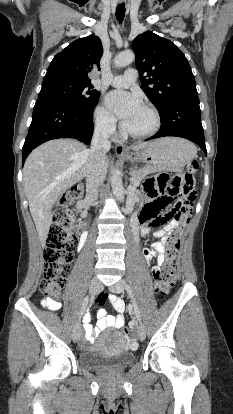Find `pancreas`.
Wrapping results in <instances>:
<instances>
[{
  "label": "pancreas",
  "instance_id": "pancreas-1",
  "mask_svg": "<svg viewBox=\"0 0 233 414\" xmlns=\"http://www.w3.org/2000/svg\"><path fill=\"white\" fill-rule=\"evenodd\" d=\"M153 172L155 171L152 168L144 167L142 169L132 170L131 175L134 180L140 183L148 174L153 173Z\"/></svg>",
  "mask_w": 233,
  "mask_h": 414
}]
</instances>
